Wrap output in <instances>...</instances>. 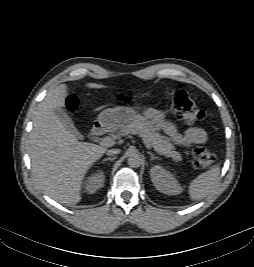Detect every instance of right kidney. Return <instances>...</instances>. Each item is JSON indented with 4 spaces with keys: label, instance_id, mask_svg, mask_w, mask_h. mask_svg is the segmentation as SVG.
<instances>
[{
    "label": "right kidney",
    "instance_id": "1",
    "mask_svg": "<svg viewBox=\"0 0 254 267\" xmlns=\"http://www.w3.org/2000/svg\"><path fill=\"white\" fill-rule=\"evenodd\" d=\"M105 175L99 170L89 176L85 182V188L89 193H94L104 186Z\"/></svg>",
    "mask_w": 254,
    "mask_h": 267
}]
</instances>
